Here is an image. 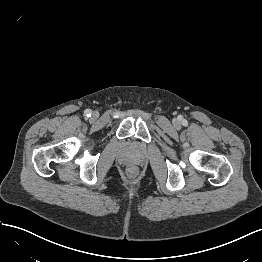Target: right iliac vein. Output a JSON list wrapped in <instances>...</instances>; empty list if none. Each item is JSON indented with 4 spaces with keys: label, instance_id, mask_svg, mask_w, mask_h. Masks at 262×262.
Returning a JSON list of instances; mask_svg holds the SVG:
<instances>
[{
    "label": "right iliac vein",
    "instance_id": "63e3f726",
    "mask_svg": "<svg viewBox=\"0 0 262 262\" xmlns=\"http://www.w3.org/2000/svg\"><path fill=\"white\" fill-rule=\"evenodd\" d=\"M93 117L96 118V117H97V113H94V114H93Z\"/></svg>",
    "mask_w": 262,
    "mask_h": 262
}]
</instances>
